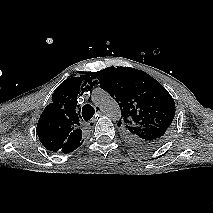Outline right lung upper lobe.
Returning a JSON list of instances; mask_svg holds the SVG:
<instances>
[{"mask_svg":"<svg viewBox=\"0 0 213 213\" xmlns=\"http://www.w3.org/2000/svg\"><path fill=\"white\" fill-rule=\"evenodd\" d=\"M94 78L86 75L68 78L55 89L52 103L44 109L37 124L39 140L46 149L69 153L83 143L76 113L77 96L93 87Z\"/></svg>","mask_w":213,"mask_h":213,"instance_id":"obj_1","label":"right lung upper lobe"}]
</instances>
